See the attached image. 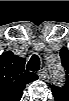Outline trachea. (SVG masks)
Wrapping results in <instances>:
<instances>
[{
	"label": "trachea",
	"instance_id": "trachea-1",
	"mask_svg": "<svg viewBox=\"0 0 69 101\" xmlns=\"http://www.w3.org/2000/svg\"><path fill=\"white\" fill-rule=\"evenodd\" d=\"M40 65H41V63H40L39 57L37 55H33L30 58L26 68L29 71H39Z\"/></svg>",
	"mask_w": 69,
	"mask_h": 101
}]
</instances>
